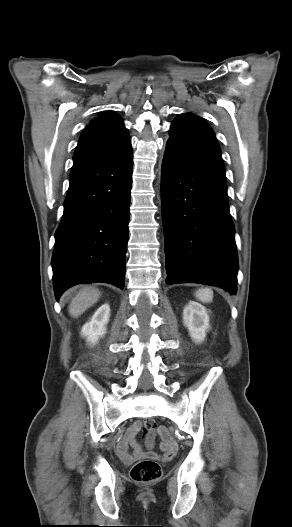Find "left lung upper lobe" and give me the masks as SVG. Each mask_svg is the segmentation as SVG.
Wrapping results in <instances>:
<instances>
[{"mask_svg": "<svg viewBox=\"0 0 292 527\" xmlns=\"http://www.w3.org/2000/svg\"><path fill=\"white\" fill-rule=\"evenodd\" d=\"M169 131L168 143L222 159L215 134L201 117L181 114L173 121Z\"/></svg>", "mask_w": 292, "mask_h": 527, "instance_id": "1", "label": "left lung upper lobe"}]
</instances>
